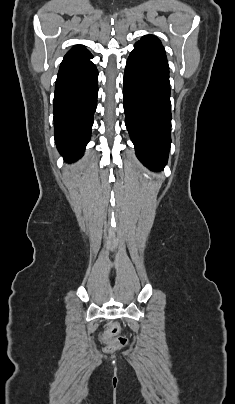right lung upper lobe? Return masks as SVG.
Returning <instances> with one entry per match:
<instances>
[{"label":"right lung upper lobe","instance_id":"right-lung-upper-lobe-1","mask_svg":"<svg viewBox=\"0 0 235 404\" xmlns=\"http://www.w3.org/2000/svg\"><path fill=\"white\" fill-rule=\"evenodd\" d=\"M92 56L91 53L82 45L73 47L64 57L65 59L86 58Z\"/></svg>","mask_w":235,"mask_h":404}]
</instances>
